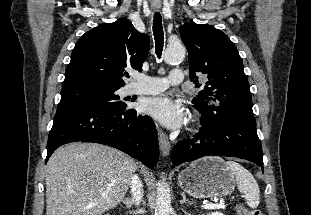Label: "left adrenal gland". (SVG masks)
Wrapping results in <instances>:
<instances>
[{"label":"left adrenal gland","instance_id":"1","mask_svg":"<svg viewBox=\"0 0 311 215\" xmlns=\"http://www.w3.org/2000/svg\"><path fill=\"white\" fill-rule=\"evenodd\" d=\"M181 196H182V200L180 201V204H184V203H186V202L189 203L190 205L193 204L192 201H189V200L186 199V196H185L184 193H181Z\"/></svg>","mask_w":311,"mask_h":215}]
</instances>
